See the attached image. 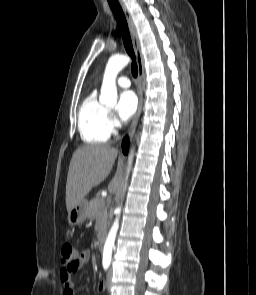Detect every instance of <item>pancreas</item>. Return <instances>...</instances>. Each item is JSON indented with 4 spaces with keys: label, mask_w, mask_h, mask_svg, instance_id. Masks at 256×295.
<instances>
[{
    "label": "pancreas",
    "mask_w": 256,
    "mask_h": 295,
    "mask_svg": "<svg viewBox=\"0 0 256 295\" xmlns=\"http://www.w3.org/2000/svg\"><path fill=\"white\" fill-rule=\"evenodd\" d=\"M87 216L89 218H95L100 224V231H102L107 221V208L105 201L99 198L92 199L88 204Z\"/></svg>",
    "instance_id": "1"
}]
</instances>
